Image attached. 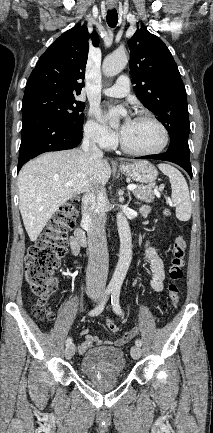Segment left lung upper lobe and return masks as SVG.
<instances>
[{"label":"left lung upper lobe","mask_w":213,"mask_h":433,"mask_svg":"<svg viewBox=\"0 0 213 433\" xmlns=\"http://www.w3.org/2000/svg\"><path fill=\"white\" fill-rule=\"evenodd\" d=\"M134 90L171 135L169 147L189 151L190 131L186 91L178 67L164 42L145 28L128 42Z\"/></svg>","instance_id":"left-lung-upper-lobe-1"}]
</instances>
